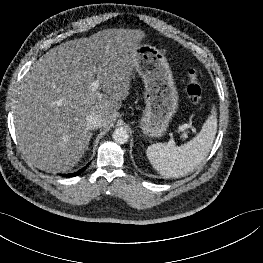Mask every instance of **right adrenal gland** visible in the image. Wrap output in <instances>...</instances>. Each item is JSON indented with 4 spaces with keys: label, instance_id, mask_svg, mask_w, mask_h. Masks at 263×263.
I'll use <instances>...</instances> for the list:
<instances>
[{
    "label": "right adrenal gland",
    "instance_id": "1",
    "mask_svg": "<svg viewBox=\"0 0 263 263\" xmlns=\"http://www.w3.org/2000/svg\"><path fill=\"white\" fill-rule=\"evenodd\" d=\"M91 137H92V133H90V138H91ZM88 145H89V143H88ZM88 145H87V148H86L87 150H88Z\"/></svg>",
    "mask_w": 263,
    "mask_h": 263
}]
</instances>
